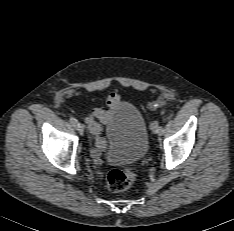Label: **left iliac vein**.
Wrapping results in <instances>:
<instances>
[{
  "mask_svg": "<svg viewBox=\"0 0 234 231\" xmlns=\"http://www.w3.org/2000/svg\"><path fill=\"white\" fill-rule=\"evenodd\" d=\"M158 127H159L158 122L155 121V122L152 124V126H151L152 132L155 133V134H157V133H158Z\"/></svg>",
  "mask_w": 234,
  "mask_h": 231,
  "instance_id": "1",
  "label": "left iliac vein"
}]
</instances>
